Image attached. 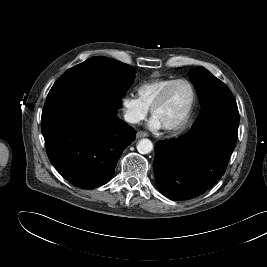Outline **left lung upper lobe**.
<instances>
[{"mask_svg": "<svg viewBox=\"0 0 267 267\" xmlns=\"http://www.w3.org/2000/svg\"><path fill=\"white\" fill-rule=\"evenodd\" d=\"M198 93L202 111L192 127L200 126L216 116L226 115L239 121L237 104L229 88L207 69L195 67L189 72Z\"/></svg>", "mask_w": 267, "mask_h": 267, "instance_id": "obj_1", "label": "left lung upper lobe"}]
</instances>
